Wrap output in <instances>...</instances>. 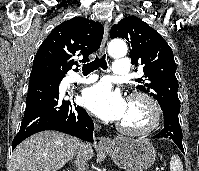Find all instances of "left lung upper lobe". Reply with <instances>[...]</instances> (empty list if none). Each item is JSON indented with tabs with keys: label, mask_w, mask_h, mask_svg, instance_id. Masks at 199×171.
<instances>
[{
	"label": "left lung upper lobe",
	"mask_w": 199,
	"mask_h": 171,
	"mask_svg": "<svg viewBox=\"0 0 199 171\" xmlns=\"http://www.w3.org/2000/svg\"><path fill=\"white\" fill-rule=\"evenodd\" d=\"M110 37L125 39L132 63L143 66L144 76L137 79V89L152 95L162 110L180 111L176 63L162 36L141 19L127 16L111 28Z\"/></svg>",
	"instance_id": "left-lung-upper-lobe-1"
}]
</instances>
